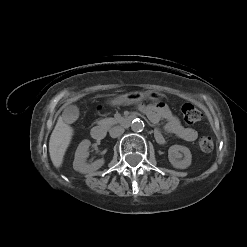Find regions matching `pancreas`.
Returning a JSON list of instances; mask_svg holds the SVG:
<instances>
[{"label": "pancreas", "instance_id": "obj_1", "mask_svg": "<svg viewBox=\"0 0 247 247\" xmlns=\"http://www.w3.org/2000/svg\"><path fill=\"white\" fill-rule=\"evenodd\" d=\"M117 122H118V120L116 118H105V119L99 120L97 123L100 126H103L105 128H109L112 125L116 124Z\"/></svg>", "mask_w": 247, "mask_h": 247}]
</instances>
